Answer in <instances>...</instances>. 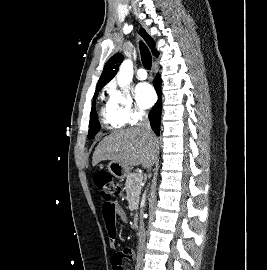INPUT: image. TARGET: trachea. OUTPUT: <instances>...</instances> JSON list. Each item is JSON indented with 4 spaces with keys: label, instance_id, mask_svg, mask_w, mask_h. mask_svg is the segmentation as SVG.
I'll use <instances>...</instances> for the list:
<instances>
[{
    "label": "trachea",
    "instance_id": "1",
    "mask_svg": "<svg viewBox=\"0 0 267 270\" xmlns=\"http://www.w3.org/2000/svg\"><path fill=\"white\" fill-rule=\"evenodd\" d=\"M140 52H141V60H142L143 66L147 70H150L152 66V57L148 48L143 43H140Z\"/></svg>",
    "mask_w": 267,
    "mask_h": 270
}]
</instances>
